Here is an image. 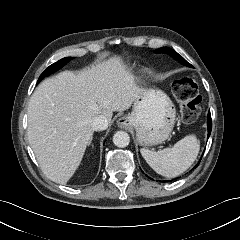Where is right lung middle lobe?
<instances>
[{
	"label": "right lung middle lobe",
	"instance_id": "right-lung-middle-lobe-1",
	"mask_svg": "<svg viewBox=\"0 0 240 240\" xmlns=\"http://www.w3.org/2000/svg\"><path fill=\"white\" fill-rule=\"evenodd\" d=\"M73 57H66L63 58L54 64L50 65L39 77L38 82L41 81L44 77L54 73L55 71L59 70L62 68L66 63H68Z\"/></svg>",
	"mask_w": 240,
	"mask_h": 240
}]
</instances>
